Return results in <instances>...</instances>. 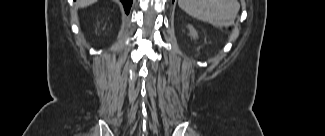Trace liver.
I'll return each instance as SVG.
<instances>
[{
  "label": "liver",
  "instance_id": "1",
  "mask_svg": "<svg viewBox=\"0 0 325 136\" xmlns=\"http://www.w3.org/2000/svg\"><path fill=\"white\" fill-rule=\"evenodd\" d=\"M97 0H77L76 1V5L78 7H86V6H89L93 3H95Z\"/></svg>",
  "mask_w": 325,
  "mask_h": 136
}]
</instances>
